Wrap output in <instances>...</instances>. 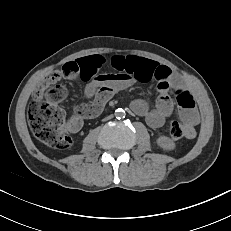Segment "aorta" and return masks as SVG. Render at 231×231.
<instances>
[{
  "label": "aorta",
  "instance_id": "aorta-1",
  "mask_svg": "<svg viewBox=\"0 0 231 231\" xmlns=\"http://www.w3.org/2000/svg\"><path fill=\"white\" fill-rule=\"evenodd\" d=\"M124 115H125V111L121 108H119L115 111V116L117 118H122V117H124Z\"/></svg>",
  "mask_w": 231,
  "mask_h": 231
}]
</instances>
